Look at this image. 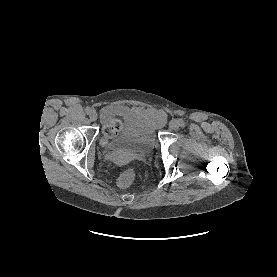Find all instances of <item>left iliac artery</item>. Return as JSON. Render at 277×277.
<instances>
[{
    "mask_svg": "<svg viewBox=\"0 0 277 277\" xmlns=\"http://www.w3.org/2000/svg\"><path fill=\"white\" fill-rule=\"evenodd\" d=\"M179 123L181 127L185 126V121L183 119H179Z\"/></svg>",
    "mask_w": 277,
    "mask_h": 277,
    "instance_id": "left-iliac-artery-1",
    "label": "left iliac artery"
}]
</instances>
